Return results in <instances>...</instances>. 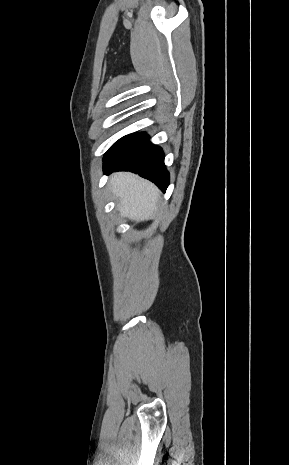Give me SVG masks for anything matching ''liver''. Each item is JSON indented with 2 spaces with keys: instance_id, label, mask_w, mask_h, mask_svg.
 Returning <instances> with one entry per match:
<instances>
[{
  "instance_id": "1",
  "label": "liver",
  "mask_w": 289,
  "mask_h": 465,
  "mask_svg": "<svg viewBox=\"0 0 289 465\" xmlns=\"http://www.w3.org/2000/svg\"><path fill=\"white\" fill-rule=\"evenodd\" d=\"M110 185L122 216L138 222L150 219L156 212L160 192L151 182L129 172H120L112 175Z\"/></svg>"
}]
</instances>
